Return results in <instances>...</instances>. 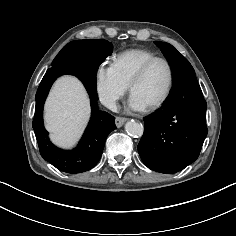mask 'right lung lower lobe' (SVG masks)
Returning <instances> with one entry per match:
<instances>
[{
	"mask_svg": "<svg viewBox=\"0 0 236 236\" xmlns=\"http://www.w3.org/2000/svg\"><path fill=\"white\" fill-rule=\"evenodd\" d=\"M112 53L97 43L76 41L62 49V67H52L44 75L35 99V116L33 129L42 157L59 170L66 173H81L92 169L99 161L106 138L113 131L115 118L98 109L96 91V74L99 65ZM72 74L84 84L91 100V119L74 150H61L49 140L48 132L43 125V106L48 92L57 77Z\"/></svg>",
	"mask_w": 236,
	"mask_h": 236,
	"instance_id": "right-lung-lower-lobe-1",
	"label": "right lung lower lobe"
}]
</instances>
